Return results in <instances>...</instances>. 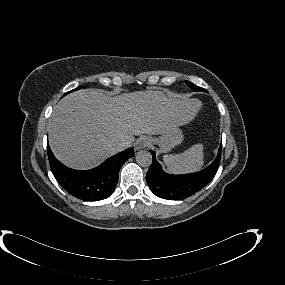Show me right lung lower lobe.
<instances>
[{
    "instance_id": "98d812e1",
    "label": "right lung lower lobe",
    "mask_w": 285,
    "mask_h": 285,
    "mask_svg": "<svg viewBox=\"0 0 285 285\" xmlns=\"http://www.w3.org/2000/svg\"><path fill=\"white\" fill-rule=\"evenodd\" d=\"M47 148L51 170L56 180L68 193L84 201L108 198L117 185L121 166L134 155L133 149L129 148L92 170L80 171L61 164L53 155L49 145Z\"/></svg>"
}]
</instances>
